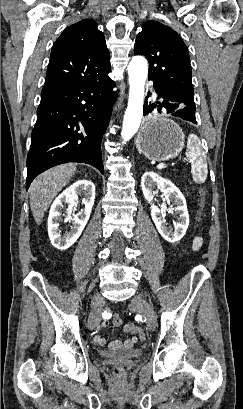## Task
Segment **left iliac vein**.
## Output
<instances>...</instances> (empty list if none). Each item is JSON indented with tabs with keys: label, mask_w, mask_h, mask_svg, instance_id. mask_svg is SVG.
<instances>
[{
	"label": "left iliac vein",
	"mask_w": 243,
	"mask_h": 409,
	"mask_svg": "<svg viewBox=\"0 0 243 409\" xmlns=\"http://www.w3.org/2000/svg\"><path fill=\"white\" fill-rule=\"evenodd\" d=\"M131 306L136 307L147 318V327L153 331L156 327V314L152 307L140 297L134 299Z\"/></svg>",
	"instance_id": "4c4485c4"
}]
</instances>
